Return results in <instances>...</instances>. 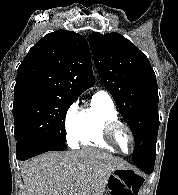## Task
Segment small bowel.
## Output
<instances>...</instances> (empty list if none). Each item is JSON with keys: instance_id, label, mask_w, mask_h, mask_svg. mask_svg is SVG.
Here are the masks:
<instances>
[{"instance_id": "1", "label": "small bowel", "mask_w": 178, "mask_h": 195, "mask_svg": "<svg viewBox=\"0 0 178 195\" xmlns=\"http://www.w3.org/2000/svg\"><path fill=\"white\" fill-rule=\"evenodd\" d=\"M119 195H132L131 193L129 192H126L124 190L120 191V194Z\"/></svg>"}]
</instances>
